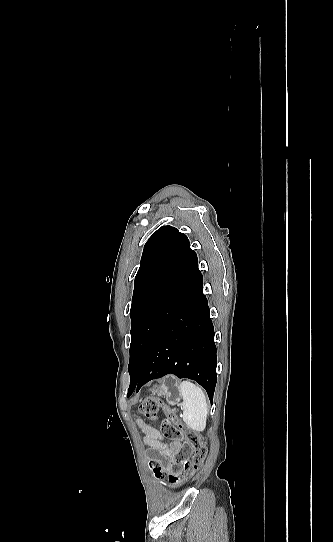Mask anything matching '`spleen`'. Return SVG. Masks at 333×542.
Here are the masks:
<instances>
[{"mask_svg": "<svg viewBox=\"0 0 333 542\" xmlns=\"http://www.w3.org/2000/svg\"><path fill=\"white\" fill-rule=\"evenodd\" d=\"M180 394L183 398V422L194 432H204L206 428L208 406L206 396L199 386L184 380L180 384Z\"/></svg>", "mask_w": 333, "mask_h": 542, "instance_id": "1", "label": "spleen"}]
</instances>
